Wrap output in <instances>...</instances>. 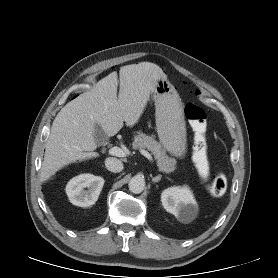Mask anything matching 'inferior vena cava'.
<instances>
[{
	"instance_id": "602c4592",
	"label": "inferior vena cava",
	"mask_w": 278,
	"mask_h": 278,
	"mask_svg": "<svg viewBox=\"0 0 278 278\" xmlns=\"http://www.w3.org/2000/svg\"><path fill=\"white\" fill-rule=\"evenodd\" d=\"M105 166L109 171L114 173L123 170V163L119 159L113 157H109L105 160Z\"/></svg>"
}]
</instances>
